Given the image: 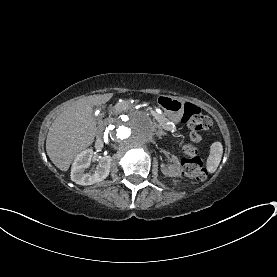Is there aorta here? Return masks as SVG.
<instances>
[{
  "instance_id": "aorta-1",
  "label": "aorta",
  "mask_w": 277,
  "mask_h": 277,
  "mask_svg": "<svg viewBox=\"0 0 277 277\" xmlns=\"http://www.w3.org/2000/svg\"><path fill=\"white\" fill-rule=\"evenodd\" d=\"M156 125L144 112L121 115L109 126L111 139L125 148L145 147L154 137Z\"/></svg>"
}]
</instances>
